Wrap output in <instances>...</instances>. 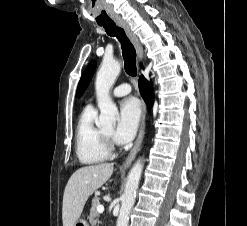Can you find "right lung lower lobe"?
Returning a JSON list of instances; mask_svg holds the SVG:
<instances>
[{"label":"right lung lower lobe","instance_id":"1","mask_svg":"<svg viewBox=\"0 0 247 226\" xmlns=\"http://www.w3.org/2000/svg\"><path fill=\"white\" fill-rule=\"evenodd\" d=\"M139 89L141 95L149 107L152 106L154 101V94L150 83L143 77L139 79Z\"/></svg>","mask_w":247,"mask_h":226}]
</instances>
